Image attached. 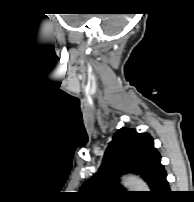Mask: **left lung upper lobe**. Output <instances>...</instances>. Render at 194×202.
Here are the masks:
<instances>
[{"instance_id": "1", "label": "left lung upper lobe", "mask_w": 194, "mask_h": 202, "mask_svg": "<svg viewBox=\"0 0 194 202\" xmlns=\"http://www.w3.org/2000/svg\"><path fill=\"white\" fill-rule=\"evenodd\" d=\"M162 168L161 156L154 147L150 134L121 128L107 147L98 172L83 184L80 194L100 202L127 194V191L116 183L123 172L140 175L152 191Z\"/></svg>"}]
</instances>
